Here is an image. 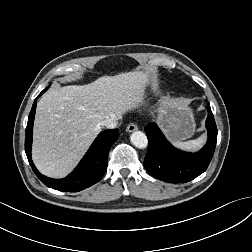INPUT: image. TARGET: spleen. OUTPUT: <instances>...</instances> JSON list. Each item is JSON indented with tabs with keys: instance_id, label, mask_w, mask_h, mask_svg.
<instances>
[{
	"instance_id": "spleen-1",
	"label": "spleen",
	"mask_w": 252,
	"mask_h": 252,
	"mask_svg": "<svg viewBox=\"0 0 252 252\" xmlns=\"http://www.w3.org/2000/svg\"><path fill=\"white\" fill-rule=\"evenodd\" d=\"M204 142H205V135H201L200 137L194 140H189L185 142L180 141L174 142V145L184 150H197L200 147H202Z\"/></svg>"
}]
</instances>
